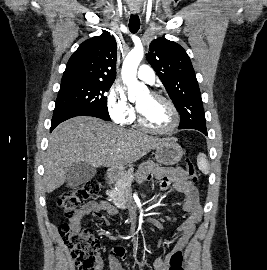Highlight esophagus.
Instances as JSON below:
<instances>
[{"label": "esophagus", "instance_id": "obj_1", "mask_svg": "<svg viewBox=\"0 0 267 270\" xmlns=\"http://www.w3.org/2000/svg\"><path fill=\"white\" fill-rule=\"evenodd\" d=\"M131 11H132L133 14H138V13H139V8L133 7V8L131 9Z\"/></svg>", "mask_w": 267, "mask_h": 270}]
</instances>
